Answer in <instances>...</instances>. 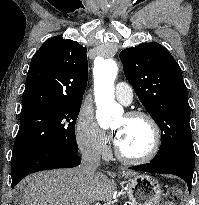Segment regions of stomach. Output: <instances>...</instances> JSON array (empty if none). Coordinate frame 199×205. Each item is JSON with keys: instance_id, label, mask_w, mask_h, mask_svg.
I'll return each instance as SVG.
<instances>
[{"instance_id": "stomach-1", "label": "stomach", "mask_w": 199, "mask_h": 205, "mask_svg": "<svg viewBox=\"0 0 199 205\" xmlns=\"http://www.w3.org/2000/svg\"><path fill=\"white\" fill-rule=\"evenodd\" d=\"M131 205H160L163 195L161 184L149 175H137L126 182Z\"/></svg>"}]
</instances>
